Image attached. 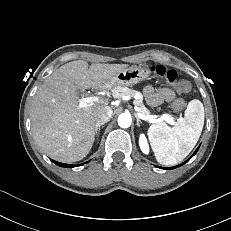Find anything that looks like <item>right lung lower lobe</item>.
<instances>
[{
    "label": "right lung lower lobe",
    "mask_w": 231,
    "mask_h": 231,
    "mask_svg": "<svg viewBox=\"0 0 231 231\" xmlns=\"http://www.w3.org/2000/svg\"><path fill=\"white\" fill-rule=\"evenodd\" d=\"M56 165L61 166V167H66V168H72V167H76V165H71V164H65V163H60V162H56L54 160H52ZM79 166V165H77Z\"/></svg>",
    "instance_id": "obj_1"
}]
</instances>
